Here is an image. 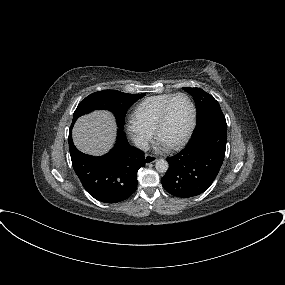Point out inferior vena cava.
I'll list each match as a JSON object with an SVG mask.
<instances>
[{"label":"inferior vena cava","mask_w":285,"mask_h":285,"mask_svg":"<svg viewBox=\"0 0 285 285\" xmlns=\"http://www.w3.org/2000/svg\"><path fill=\"white\" fill-rule=\"evenodd\" d=\"M133 144L135 147H137L143 151H148L150 148L147 140H145L144 138H141V137H135L133 139Z\"/></svg>","instance_id":"inferior-vena-cava-1"}]
</instances>
